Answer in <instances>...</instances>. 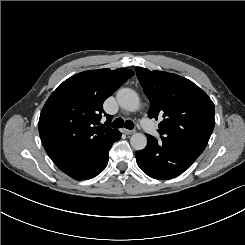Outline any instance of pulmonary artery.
Masks as SVG:
<instances>
[{"label": "pulmonary artery", "mask_w": 245, "mask_h": 245, "mask_svg": "<svg viewBox=\"0 0 245 245\" xmlns=\"http://www.w3.org/2000/svg\"><path fill=\"white\" fill-rule=\"evenodd\" d=\"M138 126L146 137L150 138L153 142H160L163 139V132L157 128L154 121L149 116H143L138 121Z\"/></svg>", "instance_id": "pulmonary-artery-1"}]
</instances>
